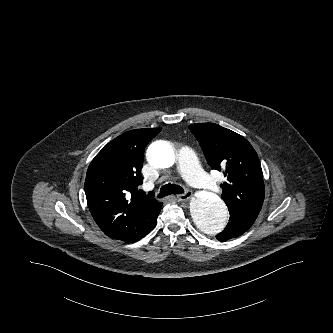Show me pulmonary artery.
<instances>
[{"label":"pulmonary artery","instance_id":"1","mask_svg":"<svg viewBox=\"0 0 333 333\" xmlns=\"http://www.w3.org/2000/svg\"><path fill=\"white\" fill-rule=\"evenodd\" d=\"M177 166L192 186L210 192L219 191L216 182L201 169L195 153L189 147H183L178 152Z\"/></svg>","mask_w":333,"mask_h":333}]
</instances>
